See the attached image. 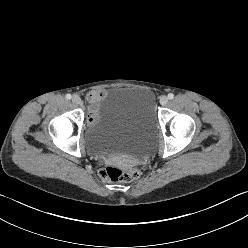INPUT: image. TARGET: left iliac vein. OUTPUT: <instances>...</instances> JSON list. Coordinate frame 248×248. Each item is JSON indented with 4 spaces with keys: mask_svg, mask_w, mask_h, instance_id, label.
Wrapping results in <instances>:
<instances>
[{
    "mask_svg": "<svg viewBox=\"0 0 248 248\" xmlns=\"http://www.w3.org/2000/svg\"><path fill=\"white\" fill-rule=\"evenodd\" d=\"M168 103V97L167 96H162L161 98H160V104L161 105H166Z\"/></svg>",
    "mask_w": 248,
    "mask_h": 248,
    "instance_id": "obj_1",
    "label": "left iliac vein"
}]
</instances>
